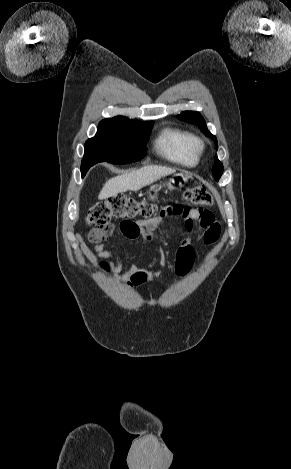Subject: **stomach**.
Listing matches in <instances>:
<instances>
[{"label": "stomach", "instance_id": "0dacf381", "mask_svg": "<svg viewBox=\"0 0 291 469\" xmlns=\"http://www.w3.org/2000/svg\"><path fill=\"white\" fill-rule=\"evenodd\" d=\"M188 181V177L184 174H176L173 178H171L168 182V187L170 189H178L183 186ZM158 196V188L152 186L148 191V197L151 200L157 199Z\"/></svg>", "mask_w": 291, "mask_h": 469}]
</instances>
